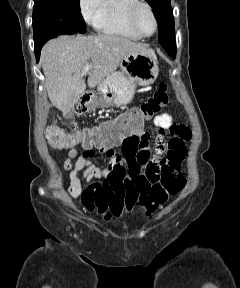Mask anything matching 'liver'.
Returning a JSON list of instances; mask_svg holds the SVG:
<instances>
[{"label": "liver", "mask_w": 240, "mask_h": 288, "mask_svg": "<svg viewBox=\"0 0 240 288\" xmlns=\"http://www.w3.org/2000/svg\"><path fill=\"white\" fill-rule=\"evenodd\" d=\"M132 52L149 53L141 43L115 35L60 36L48 41L41 51L48 97L53 106L68 114L86 84L81 72L90 62L87 84L94 88L115 72L123 57Z\"/></svg>", "instance_id": "6515ba94"}]
</instances>
